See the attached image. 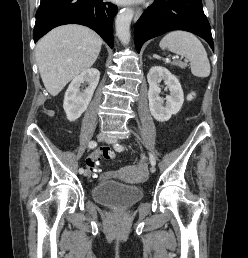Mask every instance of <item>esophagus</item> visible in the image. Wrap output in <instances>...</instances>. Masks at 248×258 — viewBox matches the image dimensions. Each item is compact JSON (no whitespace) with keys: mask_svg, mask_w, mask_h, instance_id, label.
<instances>
[{"mask_svg":"<svg viewBox=\"0 0 248 258\" xmlns=\"http://www.w3.org/2000/svg\"><path fill=\"white\" fill-rule=\"evenodd\" d=\"M142 14L141 8H136L134 11V20L136 21Z\"/></svg>","mask_w":248,"mask_h":258,"instance_id":"esophagus-1","label":"esophagus"}]
</instances>
